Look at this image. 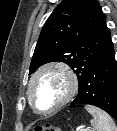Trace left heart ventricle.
<instances>
[{"mask_svg":"<svg viewBox=\"0 0 117 131\" xmlns=\"http://www.w3.org/2000/svg\"><path fill=\"white\" fill-rule=\"evenodd\" d=\"M68 83L59 71L43 73L33 87L34 99L40 110H48L55 106L66 94Z\"/></svg>","mask_w":117,"mask_h":131,"instance_id":"left-heart-ventricle-1","label":"left heart ventricle"}]
</instances>
